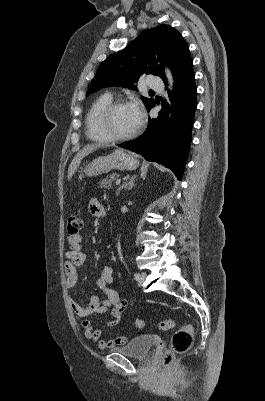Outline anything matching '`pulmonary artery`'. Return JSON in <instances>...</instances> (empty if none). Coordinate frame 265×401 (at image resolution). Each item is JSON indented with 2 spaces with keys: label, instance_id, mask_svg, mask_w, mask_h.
Wrapping results in <instances>:
<instances>
[{
  "label": "pulmonary artery",
  "instance_id": "obj_1",
  "mask_svg": "<svg viewBox=\"0 0 265 401\" xmlns=\"http://www.w3.org/2000/svg\"><path fill=\"white\" fill-rule=\"evenodd\" d=\"M150 84L149 87L152 90H163L164 83L160 75H152L149 78Z\"/></svg>",
  "mask_w": 265,
  "mask_h": 401
}]
</instances>
